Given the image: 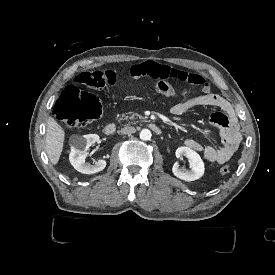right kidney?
<instances>
[{
	"mask_svg": "<svg viewBox=\"0 0 275 275\" xmlns=\"http://www.w3.org/2000/svg\"><path fill=\"white\" fill-rule=\"evenodd\" d=\"M99 136L96 134L72 135L69 139L70 154L69 161L75 170L82 174H95L101 172L106 167L105 160H97L93 165L85 163L86 157L82 154L92 144L98 142Z\"/></svg>",
	"mask_w": 275,
	"mask_h": 275,
	"instance_id": "obj_1",
	"label": "right kidney"
}]
</instances>
